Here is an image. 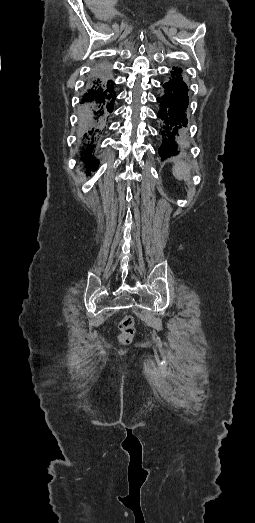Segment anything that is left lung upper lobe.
<instances>
[{
    "label": "left lung upper lobe",
    "instance_id": "1",
    "mask_svg": "<svg viewBox=\"0 0 255 523\" xmlns=\"http://www.w3.org/2000/svg\"><path fill=\"white\" fill-rule=\"evenodd\" d=\"M181 73H182V69L179 68V67H173V71H171V74L173 75L174 80L180 81V84H183V85H186V86H187V84H186V83L183 81V79H182V74H181ZM167 89H170V88H167ZM164 92H167V91H164ZM184 113H185V112H184ZM163 123H164V121H163ZM187 123H188V120H187ZM187 123H186V125H187ZM161 129H164V126H163V125H162V128H161ZM183 130H184V129H183ZM180 137H184V135H182V136H180ZM162 141H164V140H162ZM162 141H161V143H162ZM183 141H184V140H183ZM183 145H184V144H183ZM159 149H161V148H159ZM181 149H182V148H179V151H180ZM158 152H159V150H158ZM159 154H160V156H161V152H159ZM176 154H177V153H174V155H176Z\"/></svg>",
    "mask_w": 255,
    "mask_h": 523
}]
</instances>
